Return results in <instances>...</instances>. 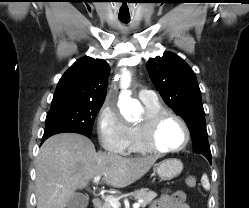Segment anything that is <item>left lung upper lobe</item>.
Here are the masks:
<instances>
[{
	"mask_svg": "<svg viewBox=\"0 0 249 208\" xmlns=\"http://www.w3.org/2000/svg\"><path fill=\"white\" fill-rule=\"evenodd\" d=\"M147 69L164 102L184 119L190 129L193 150L211 155L201 92L192 69L171 52L151 58Z\"/></svg>",
	"mask_w": 249,
	"mask_h": 208,
	"instance_id": "obj_1",
	"label": "left lung upper lobe"
}]
</instances>
